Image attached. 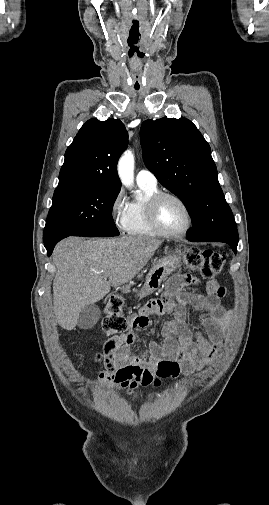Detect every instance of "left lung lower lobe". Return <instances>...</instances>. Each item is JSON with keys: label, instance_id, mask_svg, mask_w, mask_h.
Segmentation results:
<instances>
[{"label": "left lung lower lobe", "instance_id": "obj_1", "mask_svg": "<svg viewBox=\"0 0 269 505\" xmlns=\"http://www.w3.org/2000/svg\"><path fill=\"white\" fill-rule=\"evenodd\" d=\"M189 241H192V240H189ZM225 243L229 244L231 246L232 250L234 251V253H236V251H237V244L230 243V242H225Z\"/></svg>", "mask_w": 269, "mask_h": 505}]
</instances>
